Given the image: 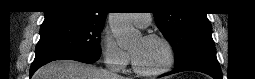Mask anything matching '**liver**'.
I'll list each match as a JSON object with an SVG mask.
<instances>
[{
  "label": "liver",
  "instance_id": "obj_1",
  "mask_svg": "<svg viewBox=\"0 0 255 79\" xmlns=\"http://www.w3.org/2000/svg\"><path fill=\"white\" fill-rule=\"evenodd\" d=\"M33 79H125L108 70L75 60H57L39 68Z\"/></svg>",
  "mask_w": 255,
  "mask_h": 79
}]
</instances>
